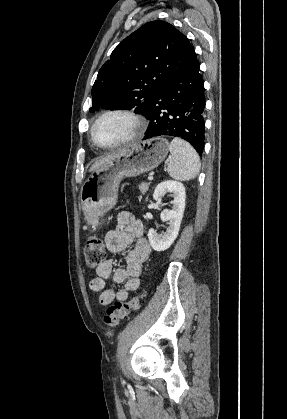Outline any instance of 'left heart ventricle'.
Wrapping results in <instances>:
<instances>
[{
    "mask_svg": "<svg viewBox=\"0 0 287 419\" xmlns=\"http://www.w3.org/2000/svg\"><path fill=\"white\" fill-rule=\"evenodd\" d=\"M132 131L133 124L129 119L111 115L96 125L94 135L96 140L102 144H113L128 137Z\"/></svg>",
    "mask_w": 287,
    "mask_h": 419,
    "instance_id": "1",
    "label": "left heart ventricle"
}]
</instances>
